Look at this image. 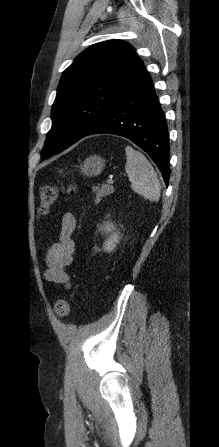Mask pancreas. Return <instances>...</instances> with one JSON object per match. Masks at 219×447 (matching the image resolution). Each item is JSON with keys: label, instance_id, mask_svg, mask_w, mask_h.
Here are the masks:
<instances>
[{"label": "pancreas", "instance_id": "obj_1", "mask_svg": "<svg viewBox=\"0 0 219 447\" xmlns=\"http://www.w3.org/2000/svg\"><path fill=\"white\" fill-rule=\"evenodd\" d=\"M93 191L96 192V198L94 202L97 204L101 201L102 197H106L114 192V188L109 185H102L100 188L95 187Z\"/></svg>", "mask_w": 219, "mask_h": 447}]
</instances>
